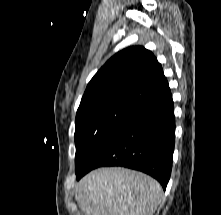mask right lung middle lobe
<instances>
[{"instance_id":"obj_1","label":"right lung middle lobe","mask_w":221,"mask_h":215,"mask_svg":"<svg viewBox=\"0 0 221 215\" xmlns=\"http://www.w3.org/2000/svg\"><path fill=\"white\" fill-rule=\"evenodd\" d=\"M135 106L120 101H97L79 106L75 128V171H83L90 159Z\"/></svg>"}]
</instances>
